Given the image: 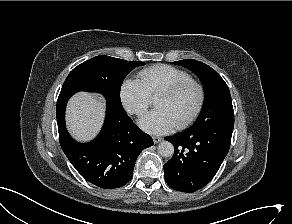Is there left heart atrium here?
<instances>
[{"mask_svg": "<svg viewBox=\"0 0 292 224\" xmlns=\"http://www.w3.org/2000/svg\"><path fill=\"white\" fill-rule=\"evenodd\" d=\"M138 124L142 130L154 135L171 132L176 127L174 120L163 109H155L145 114Z\"/></svg>", "mask_w": 292, "mask_h": 224, "instance_id": "1", "label": "left heart atrium"}]
</instances>
